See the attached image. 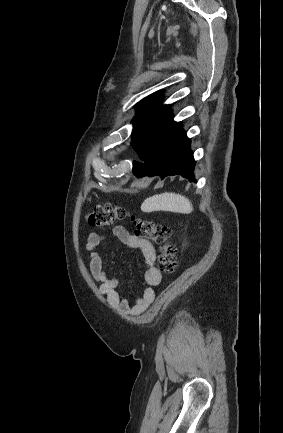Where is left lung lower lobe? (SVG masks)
Instances as JSON below:
<instances>
[{
  "label": "left lung lower lobe",
  "mask_w": 283,
  "mask_h": 433,
  "mask_svg": "<svg viewBox=\"0 0 283 433\" xmlns=\"http://www.w3.org/2000/svg\"><path fill=\"white\" fill-rule=\"evenodd\" d=\"M190 142L181 128L176 132L168 127L154 130L140 149L143 163L134 162V173L138 177L160 175L162 178L181 174L195 181Z\"/></svg>",
  "instance_id": "left-lung-lower-lobe-1"
}]
</instances>
